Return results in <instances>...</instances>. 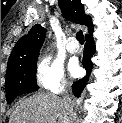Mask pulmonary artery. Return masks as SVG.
I'll list each match as a JSON object with an SVG mask.
<instances>
[{"mask_svg":"<svg viewBox=\"0 0 122 123\" xmlns=\"http://www.w3.org/2000/svg\"><path fill=\"white\" fill-rule=\"evenodd\" d=\"M66 48L70 53H76L79 50V45L74 37H70L67 41Z\"/></svg>","mask_w":122,"mask_h":123,"instance_id":"obj_1","label":"pulmonary artery"}]
</instances>
